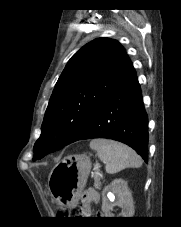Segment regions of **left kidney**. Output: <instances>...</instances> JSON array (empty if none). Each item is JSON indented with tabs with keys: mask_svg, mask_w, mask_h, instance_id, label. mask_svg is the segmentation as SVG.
<instances>
[{
	"mask_svg": "<svg viewBox=\"0 0 181 227\" xmlns=\"http://www.w3.org/2000/svg\"><path fill=\"white\" fill-rule=\"evenodd\" d=\"M115 206L122 208V212L117 217H133L134 202L132 193L127 182L123 179L113 180L102 192V211L105 217H115L112 213Z\"/></svg>",
	"mask_w": 181,
	"mask_h": 227,
	"instance_id": "left-kidney-1",
	"label": "left kidney"
}]
</instances>
